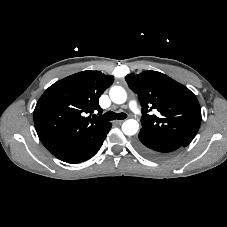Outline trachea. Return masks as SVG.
Segmentation results:
<instances>
[{"mask_svg": "<svg viewBox=\"0 0 227 227\" xmlns=\"http://www.w3.org/2000/svg\"><path fill=\"white\" fill-rule=\"evenodd\" d=\"M126 118H127V115L125 113H115L113 111H108L104 115L99 117L98 119H102V120H115V119L123 120V119H126Z\"/></svg>", "mask_w": 227, "mask_h": 227, "instance_id": "obj_1", "label": "trachea"}]
</instances>
